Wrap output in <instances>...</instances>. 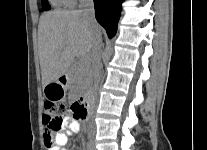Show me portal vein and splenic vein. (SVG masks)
Instances as JSON below:
<instances>
[{"label": "portal vein and splenic vein", "mask_w": 207, "mask_h": 150, "mask_svg": "<svg viewBox=\"0 0 207 150\" xmlns=\"http://www.w3.org/2000/svg\"><path fill=\"white\" fill-rule=\"evenodd\" d=\"M80 62H81L82 64H85V63L87 62V60L82 59V60H80Z\"/></svg>", "instance_id": "obj_1"}]
</instances>
